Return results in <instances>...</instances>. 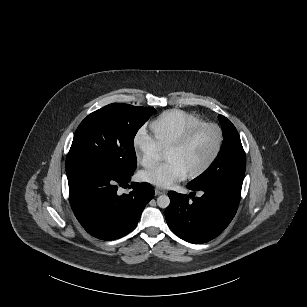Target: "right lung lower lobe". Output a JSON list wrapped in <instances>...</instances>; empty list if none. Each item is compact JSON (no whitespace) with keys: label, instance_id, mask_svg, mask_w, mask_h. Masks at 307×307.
<instances>
[{"label":"right lung lower lobe","instance_id":"1","mask_svg":"<svg viewBox=\"0 0 307 307\" xmlns=\"http://www.w3.org/2000/svg\"><path fill=\"white\" fill-rule=\"evenodd\" d=\"M131 176L107 170H82L67 176L72 210L92 236L114 240L136 227L154 189L137 183L129 194L117 195L118 185H125Z\"/></svg>","mask_w":307,"mask_h":307}]
</instances>
